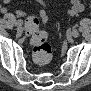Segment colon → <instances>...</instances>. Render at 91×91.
<instances>
[{
  "instance_id": "colon-1",
  "label": "colon",
  "mask_w": 91,
  "mask_h": 91,
  "mask_svg": "<svg viewBox=\"0 0 91 91\" xmlns=\"http://www.w3.org/2000/svg\"><path fill=\"white\" fill-rule=\"evenodd\" d=\"M47 19V15L29 16L26 18L25 29L33 47V60L39 66L47 65L52 58V49L48 42V35L39 28L40 24L46 22Z\"/></svg>"
}]
</instances>
